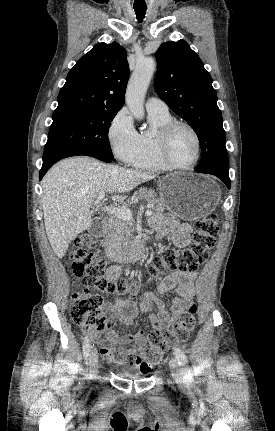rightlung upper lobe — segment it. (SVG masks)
<instances>
[{
	"instance_id": "1",
	"label": "right lung upper lobe",
	"mask_w": 275,
	"mask_h": 431,
	"mask_svg": "<svg viewBox=\"0 0 275 431\" xmlns=\"http://www.w3.org/2000/svg\"><path fill=\"white\" fill-rule=\"evenodd\" d=\"M128 79L126 50L116 42L97 44L69 71L54 113L85 109L119 111L125 102Z\"/></svg>"
}]
</instances>
